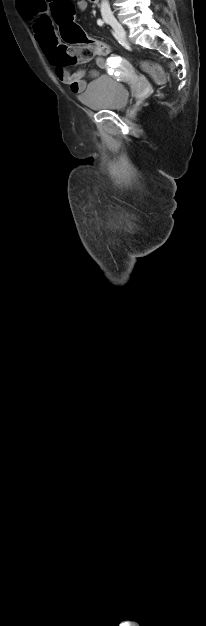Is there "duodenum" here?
Wrapping results in <instances>:
<instances>
[{"label": "duodenum", "mask_w": 206, "mask_h": 626, "mask_svg": "<svg viewBox=\"0 0 206 626\" xmlns=\"http://www.w3.org/2000/svg\"><path fill=\"white\" fill-rule=\"evenodd\" d=\"M92 3H98L99 0H90Z\"/></svg>", "instance_id": "1"}]
</instances>
